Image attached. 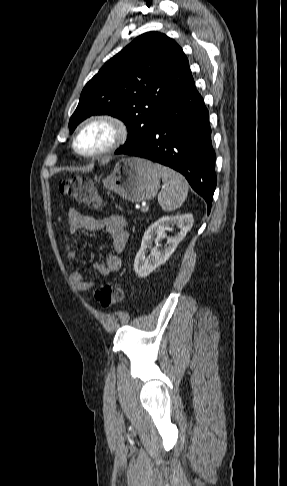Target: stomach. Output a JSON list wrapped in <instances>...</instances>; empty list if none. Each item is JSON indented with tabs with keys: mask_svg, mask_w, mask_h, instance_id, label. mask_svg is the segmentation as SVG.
Segmentation results:
<instances>
[{
	"mask_svg": "<svg viewBox=\"0 0 287 486\" xmlns=\"http://www.w3.org/2000/svg\"><path fill=\"white\" fill-rule=\"evenodd\" d=\"M156 164L138 157L119 160L112 173L103 179L106 189L131 202H141L156 196L160 185Z\"/></svg>",
	"mask_w": 287,
	"mask_h": 486,
	"instance_id": "1",
	"label": "stomach"
}]
</instances>
